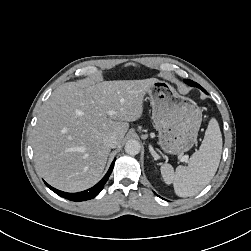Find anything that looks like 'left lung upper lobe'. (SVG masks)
<instances>
[{
	"mask_svg": "<svg viewBox=\"0 0 251 251\" xmlns=\"http://www.w3.org/2000/svg\"><path fill=\"white\" fill-rule=\"evenodd\" d=\"M184 82L190 86L193 87H198L200 88L202 91L206 92L199 84H197L196 82H193L192 80H184Z\"/></svg>",
	"mask_w": 251,
	"mask_h": 251,
	"instance_id": "obj_1",
	"label": "left lung upper lobe"
}]
</instances>
